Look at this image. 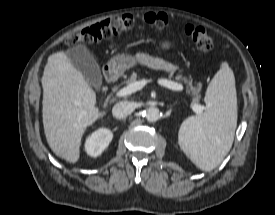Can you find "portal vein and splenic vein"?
I'll use <instances>...</instances> for the list:
<instances>
[{"label": "portal vein and splenic vein", "instance_id": "18ae733b", "mask_svg": "<svg viewBox=\"0 0 275 215\" xmlns=\"http://www.w3.org/2000/svg\"><path fill=\"white\" fill-rule=\"evenodd\" d=\"M157 83L160 86H164L168 89H171L173 91H182L184 89L183 85L171 81V80H167V79H158ZM145 83L143 81H136L134 83H131L129 85H127L126 87L120 89L119 91L116 92V97H124V96H128L131 95L132 93L141 90L144 87ZM192 109L194 112L200 114L203 111V107L199 104H195L192 106Z\"/></svg>", "mask_w": 275, "mask_h": 215}]
</instances>
